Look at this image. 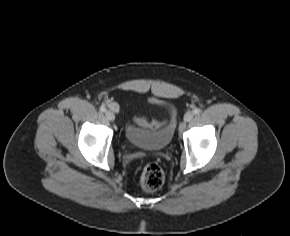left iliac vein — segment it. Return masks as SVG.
<instances>
[{
	"instance_id": "left-iliac-vein-1",
	"label": "left iliac vein",
	"mask_w": 290,
	"mask_h": 236,
	"mask_svg": "<svg viewBox=\"0 0 290 236\" xmlns=\"http://www.w3.org/2000/svg\"><path fill=\"white\" fill-rule=\"evenodd\" d=\"M193 116H194L193 112L189 111L184 115V120L186 122H190L193 119Z\"/></svg>"
}]
</instances>
